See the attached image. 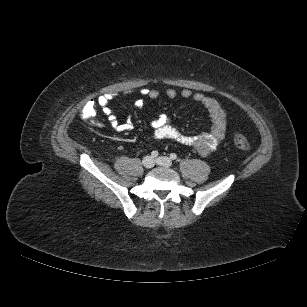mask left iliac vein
I'll use <instances>...</instances> for the list:
<instances>
[{"mask_svg": "<svg viewBox=\"0 0 307 307\" xmlns=\"http://www.w3.org/2000/svg\"><path fill=\"white\" fill-rule=\"evenodd\" d=\"M156 163L164 167H170L172 165V160L169 157L161 156L156 159Z\"/></svg>", "mask_w": 307, "mask_h": 307, "instance_id": "obj_1", "label": "left iliac vein"}]
</instances>
